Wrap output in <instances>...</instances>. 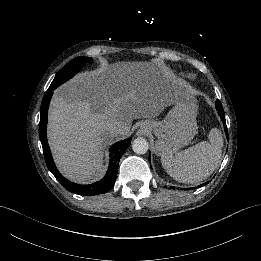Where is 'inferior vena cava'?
Returning <instances> with one entry per match:
<instances>
[{
    "mask_svg": "<svg viewBox=\"0 0 261 261\" xmlns=\"http://www.w3.org/2000/svg\"><path fill=\"white\" fill-rule=\"evenodd\" d=\"M108 130L113 136H119L124 133L125 126L115 121L111 125H109Z\"/></svg>",
    "mask_w": 261,
    "mask_h": 261,
    "instance_id": "inferior-vena-cava-1",
    "label": "inferior vena cava"
}]
</instances>
